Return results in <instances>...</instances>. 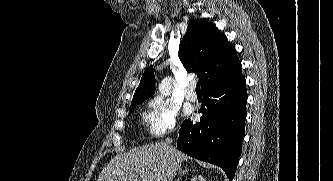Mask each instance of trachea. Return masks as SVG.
I'll return each mask as SVG.
<instances>
[{
    "label": "trachea",
    "mask_w": 333,
    "mask_h": 181,
    "mask_svg": "<svg viewBox=\"0 0 333 181\" xmlns=\"http://www.w3.org/2000/svg\"><path fill=\"white\" fill-rule=\"evenodd\" d=\"M196 92H201L200 83L199 82L196 84Z\"/></svg>",
    "instance_id": "1"
}]
</instances>
